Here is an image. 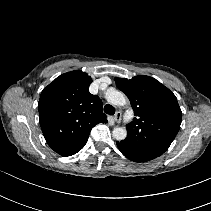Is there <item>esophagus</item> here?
Returning a JSON list of instances; mask_svg holds the SVG:
<instances>
[{
  "mask_svg": "<svg viewBox=\"0 0 211 211\" xmlns=\"http://www.w3.org/2000/svg\"><path fill=\"white\" fill-rule=\"evenodd\" d=\"M121 115H122L121 111H117V112L115 113V115L113 116V120H114L115 122H120V120H121Z\"/></svg>",
  "mask_w": 211,
  "mask_h": 211,
  "instance_id": "obj_1",
  "label": "esophagus"
}]
</instances>
